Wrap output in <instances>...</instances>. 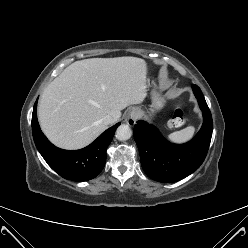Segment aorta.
I'll return each instance as SVG.
<instances>
[{"label":"aorta","mask_w":248,"mask_h":248,"mask_svg":"<svg viewBox=\"0 0 248 248\" xmlns=\"http://www.w3.org/2000/svg\"><path fill=\"white\" fill-rule=\"evenodd\" d=\"M131 135H132V130L126 124L120 125L116 130V138L120 141L128 140L131 137Z\"/></svg>","instance_id":"1"}]
</instances>
